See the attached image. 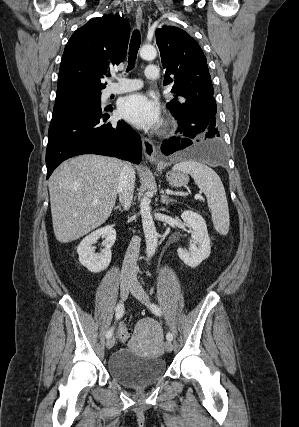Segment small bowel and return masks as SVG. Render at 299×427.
I'll return each instance as SVG.
<instances>
[{"instance_id":"c3829d8e","label":"small bowel","mask_w":299,"mask_h":427,"mask_svg":"<svg viewBox=\"0 0 299 427\" xmlns=\"http://www.w3.org/2000/svg\"><path fill=\"white\" fill-rule=\"evenodd\" d=\"M123 326H125V324H124V323H121V324H120L119 329H120V328H122ZM119 338H120V340H121L122 342H125V341H126V339H124V338H123V336L120 334V332H119Z\"/></svg>"}]
</instances>
